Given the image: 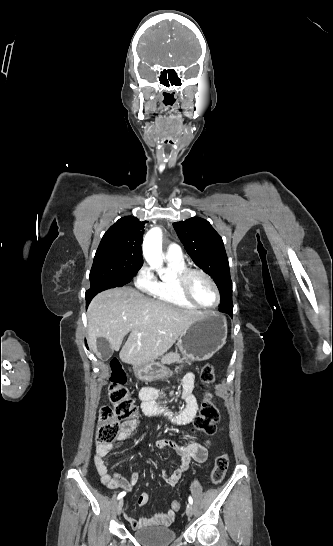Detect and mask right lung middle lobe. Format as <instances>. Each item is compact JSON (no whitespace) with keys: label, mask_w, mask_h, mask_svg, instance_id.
<instances>
[{"label":"right lung middle lobe","mask_w":333,"mask_h":546,"mask_svg":"<svg viewBox=\"0 0 333 546\" xmlns=\"http://www.w3.org/2000/svg\"><path fill=\"white\" fill-rule=\"evenodd\" d=\"M141 267L132 266L126 256L115 253L95 254L90 271V292L121 287L131 281Z\"/></svg>","instance_id":"1"}]
</instances>
